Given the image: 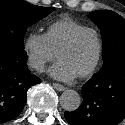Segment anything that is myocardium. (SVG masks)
<instances>
[{
  "mask_svg": "<svg viewBox=\"0 0 125 125\" xmlns=\"http://www.w3.org/2000/svg\"><path fill=\"white\" fill-rule=\"evenodd\" d=\"M86 32H91L95 35L96 40H97V53H96V57H95L93 63L91 64V66L83 73L77 75V77L80 79L91 76L96 71V69L100 63V60L102 57V51H103V42H102V38H101L99 31L93 27H84V28L74 32L56 51V57L59 58V54L61 52L71 48L74 45V43L78 40V38Z\"/></svg>",
  "mask_w": 125,
  "mask_h": 125,
  "instance_id": "f54148a6",
  "label": "myocardium"
}]
</instances>
